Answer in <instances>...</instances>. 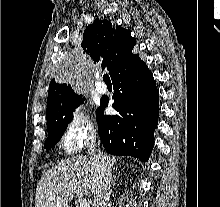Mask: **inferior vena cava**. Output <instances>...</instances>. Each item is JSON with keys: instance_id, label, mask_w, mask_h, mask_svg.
Segmentation results:
<instances>
[{"instance_id": "1", "label": "inferior vena cava", "mask_w": 220, "mask_h": 207, "mask_svg": "<svg viewBox=\"0 0 220 207\" xmlns=\"http://www.w3.org/2000/svg\"><path fill=\"white\" fill-rule=\"evenodd\" d=\"M88 153L98 173L94 187V207H108L111 194V170L106 164L105 157L95 148V136Z\"/></svg>"}]
</instances>
